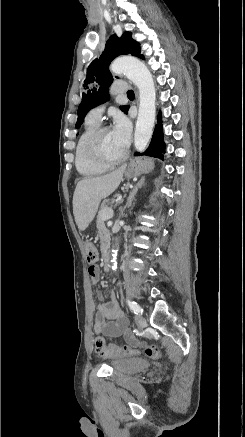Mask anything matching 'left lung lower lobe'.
I'll return each instance as SVG.
<instances>
[{
	"label": "left lung lower lobe",
	"mask_w": 245,
	"mask_h": 437,
	"mask_svg": "<svg viewBox=\"0 0 245 437\" xmlns=\"http://www.w3.org/2000/svg\"><path fill=\"white\" fill-rule=\"evenodd\" d=\"M140 58L144 59L143 56ZM158 123L155 127L151 143L144 153H135V156L146 155L163 159L165 153V143L163 138V127L161 124V115H158Z\"/></svg>",
	"instance_id": "0a47b994"
}]
</instances>
